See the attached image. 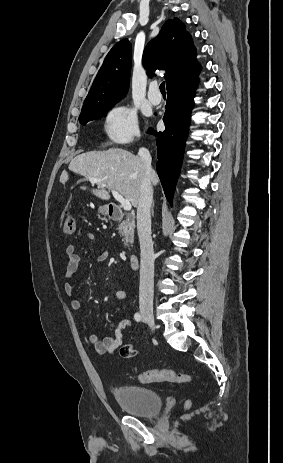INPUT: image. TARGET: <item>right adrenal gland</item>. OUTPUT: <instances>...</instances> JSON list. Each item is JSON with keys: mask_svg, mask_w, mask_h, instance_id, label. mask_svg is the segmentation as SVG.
Listing matches in <instances>:
<instances>
[{"mask_svg": "<svg viewBox=\"0 0 283 463\" xmlns=\"http://www.w3.org/2000/svg\"><path fill=\"white\" fill-rule=\"evenodd\" d=\"M153 208H154V201H153L152 208H151V210H152V215H153V213H154Z\"/></svg>", "mask_w": 283, "mask_h": 463, "instance_id": "1", "label": "right adrenal gland"}]
</instances>
